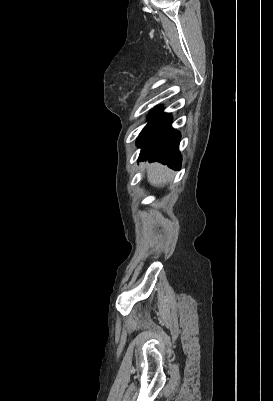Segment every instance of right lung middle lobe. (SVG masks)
Returning a JSON list of instances; mask_svg holds the SVG:
<instances>
[{"instance_id":"1","label":"right lung middle lobe","mask_w":273,"mask_h":401,"mask_svg":"<svg viewBox=\"0 0 273 401\" xmlns=\"http://www.w3.org/2000/svg\"><path fill=\"white\" fill-rule=\"evenodd\" d=\"M159 110H160V108H157L155 111H152L151 114L149 115L148 119L152 118Z\"/></svg>"}]
</instances>
